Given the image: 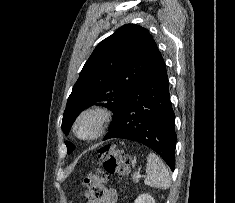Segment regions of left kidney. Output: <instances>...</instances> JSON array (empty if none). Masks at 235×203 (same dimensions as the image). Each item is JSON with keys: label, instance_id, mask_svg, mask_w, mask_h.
Masks as SVG:
<instances>
[{"label": "left kidney", "instance_id": "5707ae66", "mask_svg": "<svg viewBox=\"0 0 235 203\" xmlns=\"http://www.w3.org/2000/svg\"><path fill=\"white\" fill-rule=\"evenodd\" d=\"M134 203H155V200L149 194H141L138 198H136Z\"/></svg>", "mask_w": 235, "mask_h": 203}]
</instances>
